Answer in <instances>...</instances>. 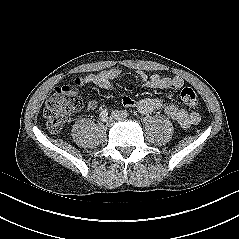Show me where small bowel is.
Masks as SVG:
<instances>
[{
    "mask_svg": "<svg viewBox=\"0 0 239 239\" xmlns=\"http://www.w3.org/2000/svg\"><path fill=\"white\" fill-rule=\"evenodd\" d=\"M121 71L118 68H109L98 73H88L75 78L74 84L77 87L94 84L107 90L116 92L121 103L126 107L136 108L142 114H149L164 106L162 98H144L135 100L129 96L122 95L117 92L113 85V81L120 77ZM140 84L145 87L156 89H176L179 90L184 85V80L180 76H164L161 74H152L148 76L144 72L138 73ZM97 101L91 100L85 106L86 112L94 111L97 108ZM164 111L168 117L177 122L184 128L196 125L200 121L199 113L195 111L188 112L185 109L175 105L168 104L164 107Z\"/></svg>",
    "mask_w": 239,
    "mask_h": 239,
    "instance_id": "small-bowel-1",
    "label": "small bowel"
}]
</instances>
